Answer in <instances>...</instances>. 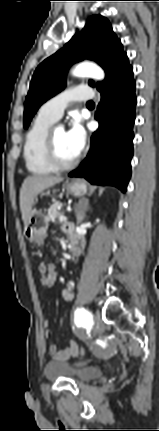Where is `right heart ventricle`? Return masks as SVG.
<instances>
[{"label":"right heart ventricle","instance_id":"1","mask_svg":"<svg viewBox=\"0 0 159 431\" xmlns=\"http://www.w3.org/2000/svg\"><path fill=\"white\" fill-rule=\"evenodd\" d=\"M54 121L42 114H38L28 130L23 158L27 170L34 175H49L56 170L49 164L45 155V143L51 125Z\"/></svg>","mask_w":159,"mask_h":431}]
</instances>
